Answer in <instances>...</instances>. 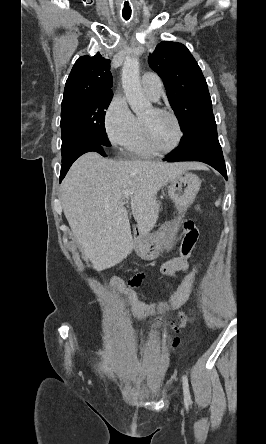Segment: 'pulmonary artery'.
Returning <instances> with one entry per match:
<instances>
[{
	"instance_id": "e3ab8cb5",
	"label": "pulmonary artery",
	"mask_w": 266,
	"mask_h": 444,
	"mask_svg": "<svg viewBox=\"0 0 266 444\" xmlns=\"http://www.w3.org/2000/svg\"><path fill=\"white\" fill-rule=\"evenodd\" d=\"M143 92L153 101L159 99L163 84L160 77L153 72H146L141 79Z\"/></svg>"
}]
</instances>
